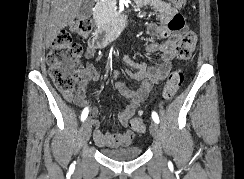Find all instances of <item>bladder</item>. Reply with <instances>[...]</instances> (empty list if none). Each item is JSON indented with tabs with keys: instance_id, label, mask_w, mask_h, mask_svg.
Masks as SVG:
<instances>
[{
	"instance_id": "1",
	"label": "bladder",
	"mask_w": 244,
	"mask_h": 179,
	"mask_svg": "<svg viewBox=\"0 0 244 179\" xmlns=\"http://www.w3.org/2000/svg\"><path fill=\"white\" fill-rule=\"evenodd\" d=\"M101 153L105 157H109L115 160L126 161L130 159L138 158L142 153V148L127 147V148H122L117 150L101 148Z\"/></svg>"
}]
</instances>
